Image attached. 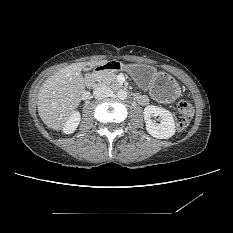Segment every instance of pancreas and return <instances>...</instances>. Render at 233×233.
Masks as SVG:
<instances>
[{"label": "pancreas", "instance_id": "1", "mask_svg": "<svg viewBox=\"0 0 233 233\" xmlns=\"http://www.w3.org/2000/svg\"><path fill=\"white\" fill-rule=\"evenodd\" d=\"M100 84L113 85L120 87L121 85L117 82V74L115 72L106 70L98 73V78Z\"/></svg>", "mask_w": 233, "mask_h": 233}]
</instances>
